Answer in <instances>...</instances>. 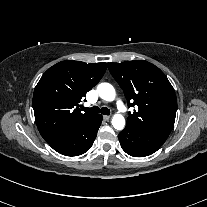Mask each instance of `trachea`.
I'll return each mask as SVG.
<instances>
[{"label":"trachea","mask_w":207,"mask_h":207,"mask_svg":"<svg viewBox=\"0 0 207 207\" xmlns=\"http://www.w3.org/2000/svg\"><path fill=\"white\" fill-rule=\"evenodd\" d=\"M83 111L87 112V113H90V114H97V113H102L104 115H109L110 114V110L106 107H102L101 109L97 106H93L91 108H85L83 107L82 108Z\"/></svg>","instance_id":"obj_1"}]
</instances>
